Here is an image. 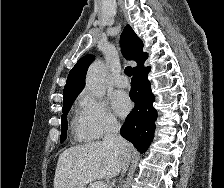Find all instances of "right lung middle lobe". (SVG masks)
<instances>
[{
    "instance_id": "1",
    "label": "right lung middle lobe",
    "mask_w": 224,
    "mask_h": 188,
    "mask_svg": "<svg viewBox=\"0 0 224 188\" xmlns=\"http://www.w3.org/2000/svg\"><path fill=\"white\" fill-rule=\"evenodd\" d=\"M77 96L78 94L63 100V109H62L63 115L61 116V128H62L61 139H60L61 143L64 142V140L66 139V132L68 128L66 116Z\"/></svg>"
}]
</instances>
